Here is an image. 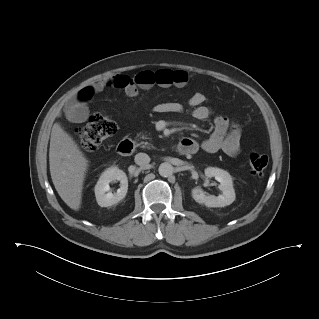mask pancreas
I'll use <instances>...</instances> for the list:
<instances>
[{"mask_svg": "<svg viewBox=\"0 0 319 319\" xmlns=\"http://www.w3.org/2000/svg\"><path fill=\"white\" fill-rule=\"evenodd\" d=\"M142 138H143V139H147V137L144 136V135H142ZM137 146H140V147L143 148V149H151V148H154V146H153L151 143H149V142H144V141L138 143Z\"/></svg>", "mask_w": 319, "mask_h": 319, "instance_id": "1", "label": "pancreas"}]
</instances>
